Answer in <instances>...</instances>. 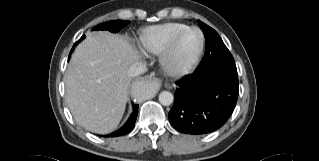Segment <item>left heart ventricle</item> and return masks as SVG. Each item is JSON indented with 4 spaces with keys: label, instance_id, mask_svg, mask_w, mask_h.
<instances>
[{
    "label": "left heart ventricle",
    "instance_id": "b2bd125f",
    "mask_svg": "<svg viewBox=\"0 0 319 161\" xmlns=\"http://www.w3.org/2000/svg\"><path fill=\"white\" fill-rule=\"evenodd\" d=\"M200 45V34L196 30H190L179 39L173 52L172 60L177 66H185L190 63Z\"/></svg>",
    "mask_w": 319,
    "mask_h": 161
}]
</instances>
